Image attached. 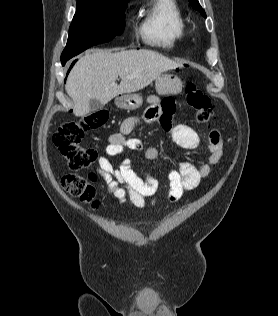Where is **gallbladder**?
<instances>
[{"label": "gallbladder", "instance_id": "1", "mask_svg": "<svg viewBox=\"0 0 278 316\" xmlns=\"http://www.w3.org/2000/svg\"><path fill=\"white\" fill-rule=\"evenodd\" d=\"M90 112H97L102 109L103 105L96 99L89 101Z\"/></svg>", "mask_w": 278, "mask_h": 316}]
</instances>
